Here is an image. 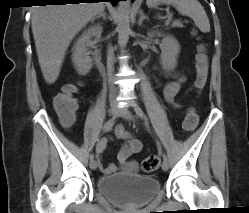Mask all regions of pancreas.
Wrapping results in <instances>:
<instances>
[{"label":"pancreas","mask_w":249,"mask_h":213,"mask_svg":"<svg viewBox=\"0 0 249 213\" xmlns=\"http://www.w3.org/2000/svg\"><path fill=\"white\" fill-rule=\"evenodd\" d=\"M171 27H179V28H182L183 27V24L180 22V21H174L172 24H171Z\"/></svg>","instance_id":"cf45deb5"}]
</instances>
